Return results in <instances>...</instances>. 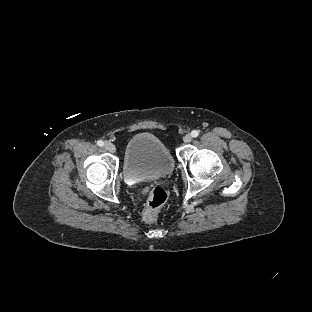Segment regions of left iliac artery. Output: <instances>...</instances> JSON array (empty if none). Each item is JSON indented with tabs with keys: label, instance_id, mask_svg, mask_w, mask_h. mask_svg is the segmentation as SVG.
Returning <instances> with one entry per match:
<instances>
[{
	"label": "left iliac artery",
	"instance_id": "obj_1",
	"mask_svg": "<svg viewBox=\"0 0 312 312\" xmlns=\"http://www.w3.org/2000/svg\"><path fill=\"white\" fill-rule=\"evenodd\" d=\"M192 137H197L199 135V131L198 130H193L191 132Z\"/></svg>",
	"mask_w": 312,
	"mask_h": 312
}]
</instances>
